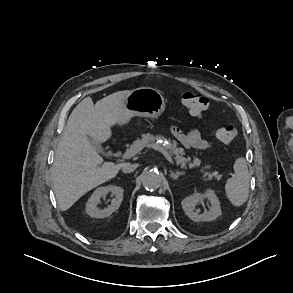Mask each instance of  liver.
Segmentation results:
<instances>
[{
  "label": "liver",
  "mask_w": 293,
  "mask_h": 293,
  "mask_svg": "<svg viewBox=\"0 0 293 293\" xmlns=\"http://www.w3.org/2000/svg\"><path fill=\"white\" fill-rule=\"evenodd\" d=\"M131 91H118L93 104L83 99L70 114L58 143L51 169L53 190L61 211L68 210L84 194L114 178L123 164L103 162L89 138L106 142L111 127L126 115L125 97Z\"/></svg>",
  "instance_id": "1"
}]
</instances>
